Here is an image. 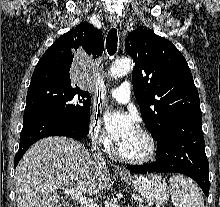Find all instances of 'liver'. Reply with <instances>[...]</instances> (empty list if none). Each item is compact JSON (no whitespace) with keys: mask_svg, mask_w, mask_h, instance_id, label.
<instances>
[{"mask_svg":"<svg viewBox=\"0 0 220 207\" xmlns=\"http://www.w3.org/2000/svg\"><path fill=\"white\" fill-rule=\"evenodd\" d=\"M109 179L106 163L94 160L82 144L66 137H47L31 146L17 165V207H56L61 187L96 195Z\"/></svg>","mask_w":220,"mask_h":207,"instance_id":"6515ba94","label":"liver"}]
</instances>
